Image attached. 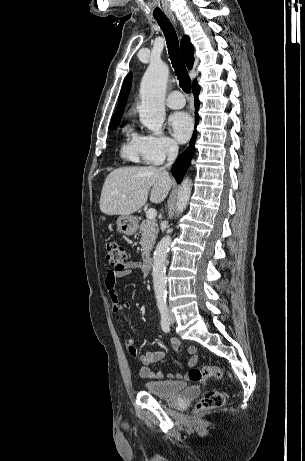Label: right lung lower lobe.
Here are the masks:
<instances>
[{"instance_id": "right-lung-lower-lobe-1", "label": "right lung lower lobe", "mask_w": 305, "mask_h": 461, "mask_svg": "<svg viewBox=\"0 0 305 461\" xmlns=\"http://www.w3.org/2000/svg\"><path fill=\"white\" fill-rule=\"evenodd\" d=\"M192 89H193V94L195 96V101H194V103H195V125H197L198 120H199V115H198L199 99H198V95H199L200 87H199V85L197 84L196 81L193 83ZM196 135H197V132H196V130H194V133H193V136H192V139L190 141V144H189L188 148L177 158L176 162L172 166V174H173L174 178L176 179L177 183H180L182 181L183 176H184L186 170L188 169L190 161H191V159H192V157L194 155V152H195L194 143H195Z\"/></svg>"}]
</instances>
